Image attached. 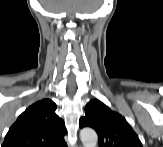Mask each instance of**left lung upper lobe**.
Masks as SVG:
<instances>
[{"mask_svg":"<svg viewBox=\"0 0 163 147\" xmlns=\"http://www.w3.org/2000/svg\"><path fill=\"white\" fill-rule=\"evenodd\" d=\"M85 116L79 126L91 127L99 136L100 147H142V144L126 119L110 110L99 100H91L86 104Z\"/></svg>","mask_w":163,"mask_h":147,"instance_id":"5c2ea615","label":"left lung upper lobe"}]
</instances>
